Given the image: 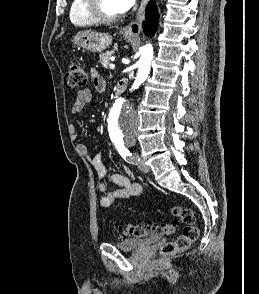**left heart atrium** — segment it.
Instances as JSON below:
<instances>
[{"label":"left heart atrium","mask_w":259,"mask_h":294,"mask_svg":"<svg viewBox=\"0 0 259 294\" xmlns=\"http://www.w3.org/2000/svg\"><path fill=\"white\" fill-rule=\"evenodd\" d=\"M136 0H117L122 12L129 10Z\"/></svg>","instance_id":"1"}]
</instances>
